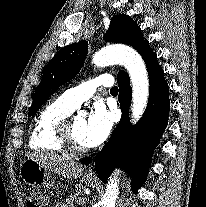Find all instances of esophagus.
<instances>
[{"label":"esophagus","mask_w":206,"mask_h":207,"mask_svg":"<svg viewBox=\"0 0 206 207\" xmlns=\"http://www.w3.org/2000/svg\"><path fill=\"white\" fill-rule=\"evenodd\" d=\"M90 175H95L94 171L92 169L89 170Z\"/></svg>","instance_id":"esophagus-1"}]
</instances>
